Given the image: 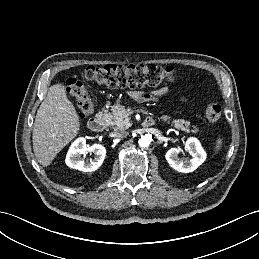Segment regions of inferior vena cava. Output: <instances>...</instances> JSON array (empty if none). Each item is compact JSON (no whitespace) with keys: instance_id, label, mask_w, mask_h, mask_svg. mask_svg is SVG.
<instances>
[{"instance_id":"1","label":"inferior vena cava","mask_w":259,"mask_h":259,"mask_svg":"<svg viewBox=\"0 0 259 259\" xmlns=\"http://www.w3.org/2000/svg\"><path fill=\"white\" fill-rule=\"evenodd\" d=\"M127 135H128V132L125 131L124 129L116 130L114 132V136L117 138H123V137H126Z\"/></svg>"}]
</instances>
